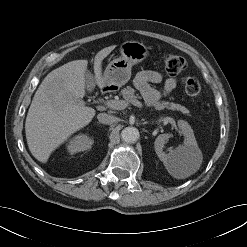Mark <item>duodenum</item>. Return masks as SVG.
I'll use <instances>...</instances> for the list:
<instances>
[{
    "mask_svg": "<svg viewBox=\"0 0 247 247\" xmlns=\"http://www.w3.org/2000/svg\"><path fill=\"white\" fill-rule=\"evenodd\" d=\"M101 92L102 94H107L108 92H110V88H103Z\"/></svg>",
    "mask_w": 247,
    "mask_h": 247,
    "instance_id": "410a0bca",
    "label": "duodenum"
}]
</instances>
